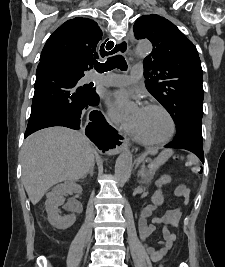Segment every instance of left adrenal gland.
Here are the masks:
<instances>
[{
    "label": "left adrenal gland",
    "mask_w": 225,
    "mask_h": 267,
    "mask_svg": "<svg viewBox=\"0 0 225 267\" xmlns=\"http://www.w3.org/2000/svg\"><path fill=\"white\" fill-rule=\"evenodd\" d=\"M138 177H141L142 180L139 181V184H142L145 182V177H146V170H145V164H143L140 167V170L138 171Z\"/></svg>",
    "instance_id": "1"
}]
</instances>
